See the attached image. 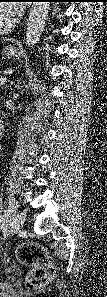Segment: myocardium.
I'll return each instance as SVG.
<instances>
[{"mask_svg":"<svg viewBox=\"0 0 107 297\" xmlns=\"http://www.w3.org/2000/svg\"><path fill=\"white\" fill-rule=\"evenodd\" d=\"M13 26H14V22H10L7 25L0 26V34L7 33L13 28Z\"/></svg>","mask_w":107,"mask_h":297,"instance_id":"obj_1","label":"myocardium"}]
</instances>
